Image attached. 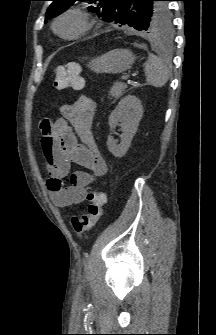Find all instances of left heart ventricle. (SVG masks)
Instances as JSON below:
<instances>
[{"mask_svg": "<svg viewBox=\"0 0 216 335\" xmlns=\"http://www.w3.org/2000/svg\"><path fill=\"white\" fill-rule=\"evenodd\" d=\"M80 28V22L75 17H66L58 24V31L63 35H70Z\"/></svg>", "mask_w": 216, "mask_h": 335, "instance_id": "b2bd125f", "label": "left heart ventricle"}]
</instances>
